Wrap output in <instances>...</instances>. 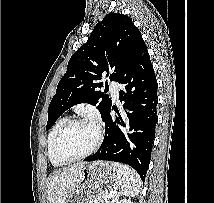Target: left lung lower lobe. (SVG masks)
<instances>
[{
	"instance_id": "obj_1",
	"label": "left lung lower lobe",
	"mask_w": 214,
	"mask_h": 203,
	"mask_svg": "<svg viewBox=\"0 0 214 203\" xmlns=\"http://www.w3.org/2000/svg\"><path fill=\"white\" fill-rule=\"evenodd\" d=\"M123 85L119 99L124 111L112 120L110 109L102 118L105 136L99 150L84 161L107 160L133 167L144 182L157 123L158 83L147 48L140 52L118 82Z\"/></svg>"
}]
</instances>
